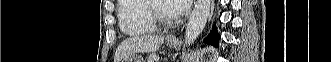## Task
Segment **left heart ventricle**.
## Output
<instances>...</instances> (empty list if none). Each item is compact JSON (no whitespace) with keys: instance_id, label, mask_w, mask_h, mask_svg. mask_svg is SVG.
I'll return each instance as SVG.
<instances>
[{"instance_id":"left-heart-ventricle-1","label":"left heart ventricle","mask_w":331,"mask_h":62,"mask_svg":"<svg viewBox=\"0 0 331 62\" xmlns=\"http://www.w3.org/2000/svg\"><path fill=\"white\" fill-rule=\"evenodd\" d=\"M159 7L161 9V11L167 15V16H171V14L169 13L168 11V5H167V2H164V1H160L159 2Z\"/></svg>"}]
</instances>
